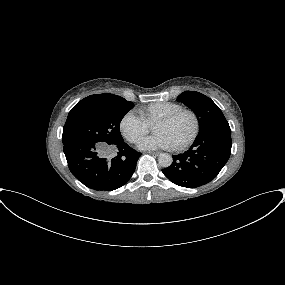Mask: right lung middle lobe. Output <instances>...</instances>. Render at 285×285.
I'll list each match as a JSON object with an SVG mask.
<instances>
[{
	"instance_id": "obj_1",
	"label": "right lung middle lobe",
	"mask_w": 285,
	"mask_h": 285,
	"mask_svg": "<svg viewBox=\"0 0 285 285\" xmlns=\"http://www.w3.org/2000/svg\"><path fill=\"white\" fill-rule=\"evenodd\" d=\"M133 107L132 102L113 94L84 98L68 114L63 128V144L92 142L111 145L122 141L119 125Z\"/></svg>"
}]
</instances>
